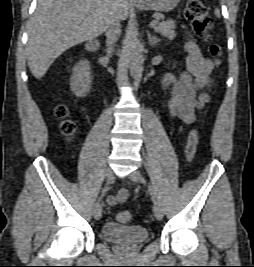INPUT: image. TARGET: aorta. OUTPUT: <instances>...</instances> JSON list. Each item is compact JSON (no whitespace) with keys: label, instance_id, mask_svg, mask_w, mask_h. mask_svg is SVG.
Listing matches in <instances>:
<instances>
[{"label":"aorta","instance_id":"762f6f07","mask_svg":"<svg viewBox=\"0 0 254 267\" xmlns=\"http://www.w3.org/2000/svg\"><path fill=\"white\" fill-rule=\"evenodd\" d=\"M127 60L131 76L138 78L142 71V44L136 30L130 31L128 35Z\"/></svg>","mask_w":254,"mask_h":267}]
</instances>
